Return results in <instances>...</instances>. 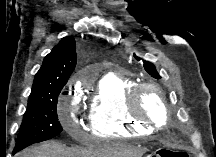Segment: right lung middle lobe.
Segmentation results:
<instances>
[{
    "mask_svg": "<svg viewBox=\"0 0 216 157\" xmlns=\"http://www.w3.org/2000/svg\"><path fill=\"white\" fill-rule=\"evenodd\" d=\"M60 91L46 97L28 100V108L24 114L14 151L51 139L61 133L62 127L56 110Z\"/></svg>",
    "mask_w": 216,
    "mask_h": 157,
    "instance_id": "right-lung-middle-lobe-1",
    "label": "right lung middle lobe"
}]
</instances>
